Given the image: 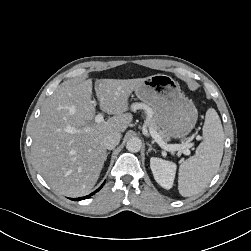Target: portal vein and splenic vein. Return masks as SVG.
Returning a JSON list of instances; mask_svg holds the SVG:
<instances>
[{
	"instance_id": "portal-vein-and-splenic-vein-1",
	"label": "portal vein and splenic vein",
	"mask_w": 251,
	"mask_h": 251,
	"mask_svg": "<svg viewBox=\"0 0 251 251\" xmlns=\"http://www.w3.org/2000/svg\"><path fill=\"white\" fill-rule=\"evenodd\" d=\"M103 115L101 113H99L98 115L95 116V122L96 123H101L103 122ZM150 135L152 136V138L154 139V141L164 150L166 151H180L182 153H184L185 155H190V150L188 149L191 145L187 144V143H183V144H167L165 142L162 141V139L160 138V136L158 135V133L154 130H150Z\"/></svg>"
}]
</instances>
